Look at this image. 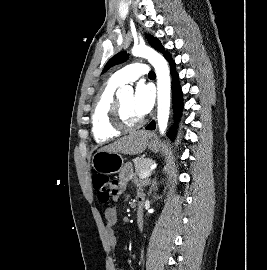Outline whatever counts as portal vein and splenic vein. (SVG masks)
Wrapping results in <instances>:
<instances>
[{
    "label": "portal vein and splenic vein",
    "instance_id": "1",
    "mask_svg": "<svg viewBox=\"0 0 267 270\" xmlns=\"http://www.w3.org/2000/svg\"><path fill=\"white\" fill-rule=\"evenodd\" d=\"M156 166H157V164L154 163L146 173L141 175V178H145V177H148L149 175H151L152 171L156 168Z\"/></svg>",
    "mask_w": 267,
    "mask_h": 270
}]
</instances>
